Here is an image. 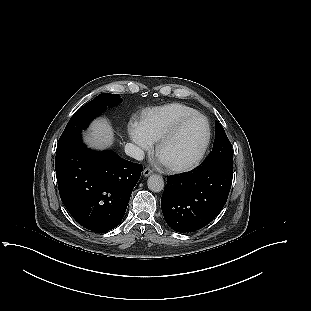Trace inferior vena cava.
Returning <instances> with one entry per match:
<instances>
[{
	"label": "inferior vena cava",
	"mask_w": 311,
	"mask_h": 311,
	"mask_svg": "<svg viewBox=\"0 0 311 311\" xmlns=\"http://www.w3.org/2000/svg\"><path fill=\"white\" fill-rule=\"evenodd\" d=\"M125 153L138 161L143 160L145 156L144 151L132 143L125 145Z\"/></svg>",
	"instance_id": "1"
}]
</instances>
